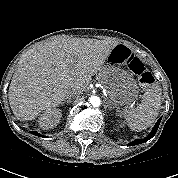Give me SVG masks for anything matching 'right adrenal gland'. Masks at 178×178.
<instances>
[{"mask_svg": "<svg viewBox=\"0 0 178 178\" xmlns=\"http://www.w3.org/2000/svg\"><path fill=\"white\" fill-rule=\"evenodd\" d=\"M71 102V97H68L67 99H65L60 105H64L65 103L69 104Z\"/></svg>", "mask_w": 178, "mask_h": 178, "instance_id": "right-adrenal-gland-1", "label": "right adrenal gland"}]
</instances>
